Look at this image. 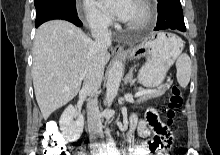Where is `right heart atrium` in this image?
<instances>
[{
  "instance_id": "obj_1",
  "label": "right heart atrium",
  "mask_w": 220,
  "mask_h": 155,
  "mask_svg": "<svg viewBox=\"0 0 220 155\" xmlns=\"http://www.w3.org/2000/svg\"><path fill=\"white\" fill-rule=\"evenodd\" d=\"M82 17L85 23L94 30H106L112 24L111 16L94 0H83Z\"/></svg>"
}]
</instances>
